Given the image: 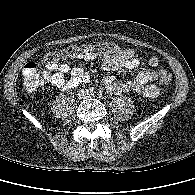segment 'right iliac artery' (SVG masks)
<instances>
[{
	"instance_id": "right-iliac-artery-1",
	"label": "right iliac artery",
	"mask_w": 195,
	"mask_h": 195,
	"mask_svg": "<svg viewBox=\"0 0 195 195\" xmlns=\"http://www.w3.org/2000/svg\"><path fill=\"white\" fill-rule=\"evenodd\" d=\"M94 91H95V89L93 87L88 89V92H90V93H94Z\"/></svg>"
}]
</instances>
